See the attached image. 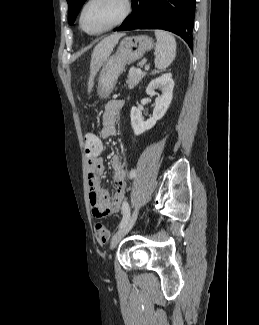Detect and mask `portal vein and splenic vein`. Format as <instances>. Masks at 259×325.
I'll return each instance as SVG.
<instances>
[{"instance_id":"portal-vein-and-splenic-vein-1","label":"portal vein and splenic vein","mask_w":259,"mask_h":325,"mask_svg":"<svg viewBox=\"0 0 259 325\" xmlns=\"http://www.w3.org/2000/svg\"><path fill=\"white\" fill-rule=\"evenodd\" d=\"M146 69H148V67H146ZM136 72H137V73H141L142 71H141L140 68H138V69H136Z\"/></svg>"}]
</instances>
